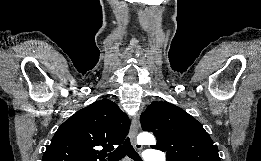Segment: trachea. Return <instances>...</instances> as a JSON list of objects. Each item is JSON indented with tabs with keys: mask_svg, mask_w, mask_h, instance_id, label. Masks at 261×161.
Wrapping results in <instances>:
<instances>
[{
	"mask_svg": "<svg viewBox=\"0 0 261 161\" xmlns=\"http://www.w3.org/2000/svg\"><path fill=\"white\" fill-rule=\"evenodd\" d=\"M125 155L133 159L134 161H142L139 154L134 150L130 143L129 138H127L122 145H120L114 152L110 153V161H120Z\"/></svg>",
	"mask_w": 261,
	"mask_h": 161,
	"instance_id": "1",
	"label": "trachea"
}]
</instances>
